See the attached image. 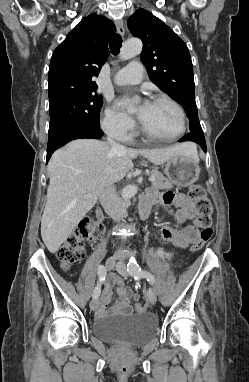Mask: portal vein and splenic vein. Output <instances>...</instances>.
<instances>
[{
  "label": "portal vein and splenic vein",
  "mask_w": 249,
  "mask_h": 382,
  "mask_svg": "<svg viewBox=\"0 0 249 382\" xmlns=\"http://www.w3.org/2000/svg\"><path fill=\"white\" fill-rule=\"evenodd\" d=\"M148 180L153 182L155 180V178L154 177H150ZM89 196H90V194L87 195V197H89Z\"/></svg>",
  "instance_id": "1"
}]
</instances>
